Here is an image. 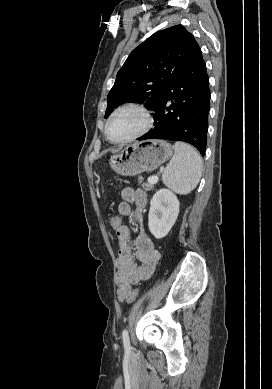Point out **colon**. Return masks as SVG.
<instances>
[{
	"label": "colon",
	"mask_w": 272,
	"mask_h": 389,
	"mask_svg": "<svg viewBox=\"0 0 272 389\" xmlns=\"http://www.w3.org/2000/svg\"><path fill=\"white\" fill-rule=\"evenodd\" d=\"M109 223H110L111 228L114 231H117L122 226L121 216L119 214L111 215L109 218ZM138 293L139 292L137 289L130 291V293L125 298L126 302H128V303L134 302L136 300V298L138 297Z\"/></svg>",
	"instance_id": "colon-1"
}]
</instances>
